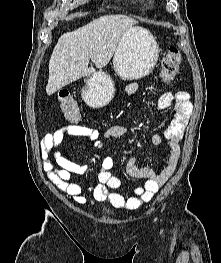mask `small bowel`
I'll return each mask as SVG.
<instances>
[{"mask_svg": "<svg viewBox=\"0 0 221 263\" xmlns=\"http://www.w3.org/2000/svg\"><path fill=\"white\" fill-rule=\"evenodd\" d=\"M137 90V83H131L126 88L129 95L136 93ZM189 98V94L184 91L168 92L161 96L159 108L166 110L172 107L174 117L163 135H153L152 142L159 145L163 138L168 141V160L160 172H155L151 168L139 167L137 159L130 158L126 164L128 175L133 179L146 180L144 186L134 189L132 196L126 197L117 191L123 185L120 179L110 171L114 165L110 156H106L102 161L98 182L83 187L75 181V176L85 174L88 166L73 162L58 149L66 134L86 139L94 149H102L104 146L103 139L120 138L128 133V128L122 125L111 126L102 135L96 129L81 125H68L47 133L41 141V158L44 161V169L48 178L58 189L67 193L76 203L81 205L87 204L84 193L89 192L92 194L94 201H107L114 208L128 210L140 208L142 204L153 199L155 193L167 182L177 168L181 156L180 142L184 137L185 128L192 112ZM51 154L53 161L50 160Z\"/></svg>", "mask_w": 221, "mask_h": 263, "instance_id": "1", "label": "small bowel"}]
</instances>
